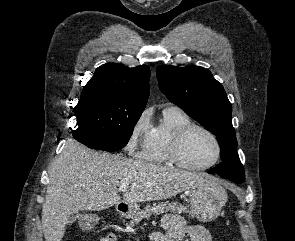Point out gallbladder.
I'll list each match as a JSON object with an SVG mask.
<instances>
[{
    "label": "gallbladder",
    "mask_w": 295,
    "mask_h": 241,
    "mask_svg": "<svg viewBox=\"0 0 295 241\" xmlns=\"http://www.w3.org/2000/svg\"><path fill=\"white\" fill-rule=\"evenodd\" d=\"M78 215H79L78 212H73V213L69 216L68 221H67V224H72L73 222H75L76 219L78 218Z\"/></svg>",
    "instance_id": "1"
}]
</instances>
